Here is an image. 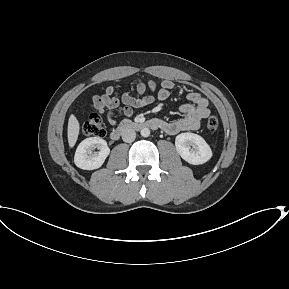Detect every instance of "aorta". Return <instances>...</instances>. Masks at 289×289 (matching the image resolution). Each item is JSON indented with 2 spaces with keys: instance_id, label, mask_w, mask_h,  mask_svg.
Here are the masks:
<instances>
[{
  "instance_id": "1",
  "label": "aorta",
  "mask_w": 289,
  "mask_h": 289,
  "mask_svg": "<svg viewBox=\"0 0 289 289\" xmlns=\"http://www.w3.org/2000/svg\"><path fill=\"white\" fill-rule=\"evenodd\" d=\"M140 134L143 137H148L150 135V130L148 128H142Z\"/></svg>"
}]
</instances>
